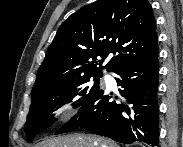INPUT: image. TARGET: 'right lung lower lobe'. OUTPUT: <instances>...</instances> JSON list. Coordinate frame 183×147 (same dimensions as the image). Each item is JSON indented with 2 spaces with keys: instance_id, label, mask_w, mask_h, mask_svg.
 Listing matches in <instances>:
<instances>
[{
  "instance_id": "1",
  "label": "right lung lower lobe",
  "mask_w": 183,
  "mask_h": 147,
  "mask_svg": "<svg viewBox=\"0 0 183 147\" xmlns=\"http://www.w3.org/2000/svg\"><path fill=\"white\" fill-rule=\"evenodd\" d=\"M122 101H112L97 91L56 134L84 128L94 134L130 144L143 141L158 145V55L130 61L114 71Z\"/></svg>"
}]
</instances>
